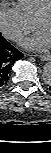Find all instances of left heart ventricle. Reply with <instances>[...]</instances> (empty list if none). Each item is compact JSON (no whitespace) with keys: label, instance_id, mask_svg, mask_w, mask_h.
<instances>
[{"label":"left heart ventricle","instance_id":"obj_1","mask_svg":"<svg viewBox=\"0 0 51 153\" xmlns=\"http://www.w3.org/2000/svg\"><path fill=\"white\" fill-rule=\"evenodd\" d=\"M41 30H44L51 36V20L46 19L41 23Z\"/></svg>","mask_w":51,"mask_h":153}]
</instances>
